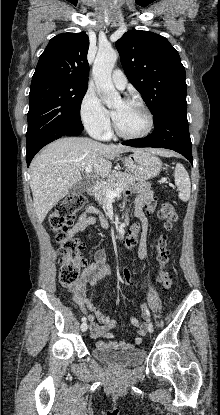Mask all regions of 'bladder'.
<instances>
[{
    "instance_id": "1",
    "label": "bladder",
    "mask_w": 220,
    "mask_h": 415,
    "mask_svg": "<svg viewBox=\"0 0 220 415\" xmlns=\"http://www.w3.org/2000/svg\"><path fill=\"white\" fill-rule=\"evenodd\" d=\"M92 354L100 362L116 368H129L137 366L144 361L146 356L145 351L142 349L116 351L97 345L93 347Z\"/></svg>"
}]
</instances>
